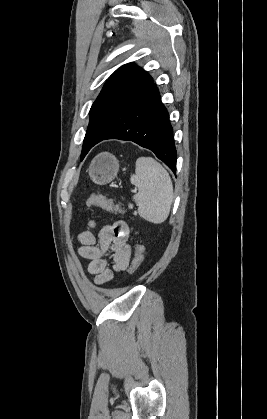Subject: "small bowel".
Returning <instances> with one entry per match:
<instances>
[{
    "label": "small bowel",
    "instance_id": "1",
    "mask_svg": "<svg viewBox=\"0 0 267 419\" xmlns=\"http://www.w3.org/2000/svg\"><path fill=\"white\" fill-rule=\"evenodd\" d=\"M90 227L94 228L95 223L91 222ZM129 232L126 222L116 221L101 227L97 237L92 230L79 235L78 254L89 260L87 271L94 276L95 284H106L127 269L131 257Z\"/></svg>",
    "mask_w": 267,
    "mask_h": 419
}]
</instances>
